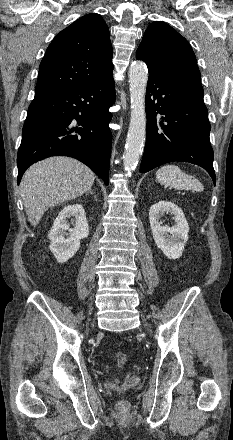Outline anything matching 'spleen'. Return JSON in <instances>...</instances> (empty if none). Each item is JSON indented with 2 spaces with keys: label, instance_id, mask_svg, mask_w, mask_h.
Wrapping results in <instances>:
<instances>
[{
  "label": "spleen",
  "instance_id": "spleen-1",
  "mask_svg": "<svg viewBox=\"0 0 233 440\" xmlns=\"http://www.w3.org/2000/svg\"><path fill=\"white\" fill-rule=\"evenodd\" d=\"M156 179L162 185L170 186L179 190H193L202 192V183L192 175L183 172L177 165L168 164L159 168Z\"/></svg>",
  "mask_w": 233,
  "mask_h": 440
}]
</instances>
